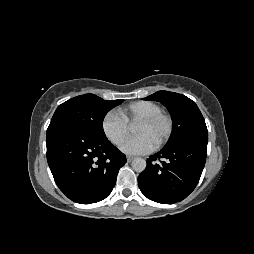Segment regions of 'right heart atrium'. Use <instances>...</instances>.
<instances>
[{
    "label": "right heart atrium",
    "mask_w": 254,
    "mask_h": 254,
    "mask_svg": "<svg viewBox=\"0 0 254 254\" xmlns=\"http://www.w3.org/2000/svg\"><path fill=\"white\" fill-rule=\"evenodd\" d=\"M101 129L106 139L116 146L122 144L129 131L128 123L114 110L107 112L103 116Z\"/></svg>",
    "instance_id": "1"
}]
</instances>
